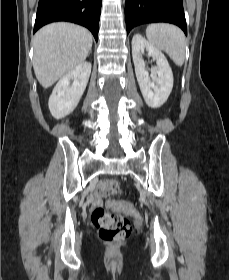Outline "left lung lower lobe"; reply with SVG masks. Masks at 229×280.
Here are the masks:
<instances>
[{
  "label": "left lung lower lobe",
  "mask_w": 229,
  "mask_h": 280,
  "mask_svg": "<svg viewBox=\"0 0 229 280\" xmlns=\"http://www.w3.org/2000/svg\"><path fill=\"white\" fill-rule=\"evenodd\" d=\"M127 33L140 24L168 22L179 26L187 35L182 0H126Z\"/></svg>",
  "instance_id": "obj_1"
}]
</instances>
